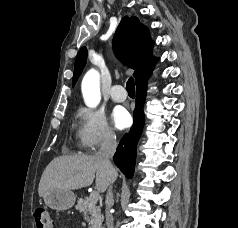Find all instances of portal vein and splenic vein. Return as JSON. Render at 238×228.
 <instances>
[{
  "label": "portal vein and splenic vein",
  "instance_id": "obj_1",
  "mask_svg": "<svg viewBox=\"0 0 238 228\" xmlns=\"http://www.w3.org/2000/svg\"><path fill=\"white\" fill-rule=\"evenodd\" d=\"M99 193L97 192V191H93V192H91L90 193V198L92 199V200H98L99 199Z\"/></svg>",
  "mask_w": 238,
  "mask_h": 228
}]
</instances>
